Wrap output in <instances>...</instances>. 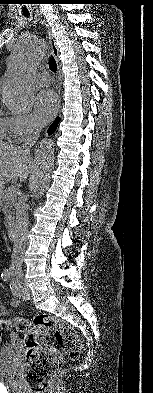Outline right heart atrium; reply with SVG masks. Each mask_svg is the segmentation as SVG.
Returning <instances> with one entry per match:
<instances>
[{
    "mask_svg": "<svg viewBox=\"0 0 153 393\" xmlns=\"http://www.w3.org/2000/svg\"><path fill=\"white\" fill-rule=\"evenodd\" d=\"M10 120L12 138L28 137L40 129L36 120L30 115H13Z\"/></svg>",
    "mask_w": 153,
    "mask_h": 393,
    "instance_id": "d8ad5b80",
    "label": "right heart atrium"
}]
</instances>
